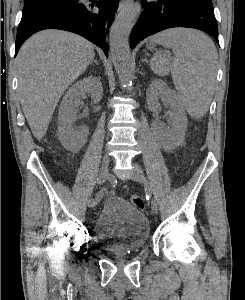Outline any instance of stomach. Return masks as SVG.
<instances>
[{
  "instance_id": "obj_1",
  "label": "stomach",
  "mask_w": 245,
  "mask_h": 300,
  "mask_svg": "<svg viewBox=\"0 0 245 300\" xmlns=\"http://www.w3.org/2000/svg\"><path fill=\"white\" fill-rule=\"evenodd\" d=\"M148 47H149V48H153V45L150 44Z\"/></svg>"
}]
</instances>
